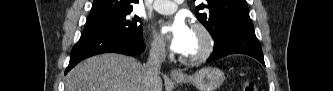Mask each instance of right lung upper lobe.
Here are the masks:
<instances>
[{
  "mask_svg": "<svg viewBox=\"0 0 333 91\" xmlns=\"http://www.w3.org/2000/svg\"><path fill=\"white\" fill-rule=\"evenodd\" d=\"M137 2H139V0H94L90 19L132 10V4Z\"/></svg>",
  "mask_w": 333,
  "mask_h": 91,
  "instance_id": "cb5924a9",
  "label": "right lung upper lobe"
}]
</instances>
